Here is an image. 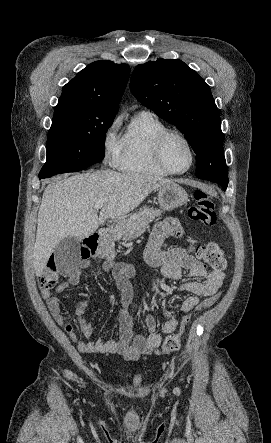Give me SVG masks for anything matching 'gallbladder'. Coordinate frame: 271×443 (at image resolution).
Masks as SVG:
<instances>
[{"mask_svg":"<svg viewBox=\"0 0 271 443\" xmlns=\"http://www.w3.org/2000/svg\"><path fill=\"white\" fill-rule=\"evenodd\" d=\"M80 243L76 237H64L55 247L57 273H76L82 269Z\"/></svg>","mask_w":271,"mask_h":443,"instance_id":"bac80fb5","label":"gallbladder"}]
</instances>
